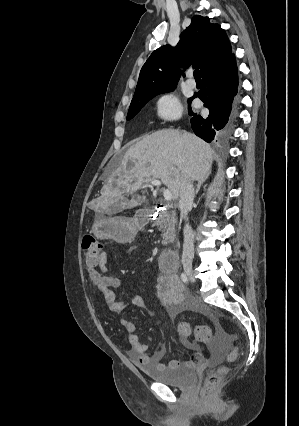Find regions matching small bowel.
Listing matches in <instances>:
<instances>
[{
	"mask_svg": "<svg viewBox=\"0 0 299 426\" xmlns=\"http://www.w3.org/2000/svg\"><path fill=\"white\" fill-rule=\"evenodd\" d=\"M107 252L102 251L100 260L97 267L90 273L88 272L89 279H93L95 288L100 292L104 303L110 311L115 313H122L128 307V302L123 299H117L114 289H117L121 282L119 278L108 273L107 267ZM156 301L166 308L170 316H175L183 311H194L201 313L212 321H215L213 314L204 306L198 304L185 290L184 285L180 281L176 270L172 272L162 271L156 280ZM131 304L136 307H145V301L138 293L131 295ZM120 323L128 333L129 343L131 349L129 357L139 363H151L158 368H194L207 360L204 352L200 347L191 341L185 342V347L194 350V353L189 360L179 361L171 359L168 363L163 362V358L167 353L166 346H162L152 354L149 353V347L146 343L142 342L138 336L137 323L128 318L120 319Z\"/></svg>",
	"mask_w": 299,
	"mask_h": 426,
	"instance_id": "obj_1",
	"label": "small bowel"
}]
</instances>
